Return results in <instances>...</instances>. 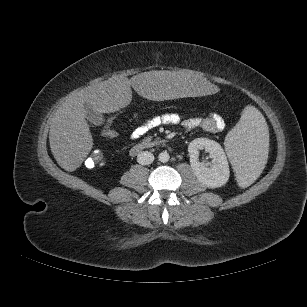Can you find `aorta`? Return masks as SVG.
Here are the masks:
<instances>
[{
	"label": "aorta",
	"mask_w": 307,
	"mask_h": 307,
	"mask_svg": "<svg viewBox=\"0 0 307 307\" xmlns=\"http://www.w3.org/2000/svg\"><path fill=\"white\" fill-rule=\"evenodd\" d=\"M158 159L162 163L168 162L169 159H170L169 153L167 151H163V152L159 153Z\"/></svg>",
	"instance_id": "1"
}]
</instances>
